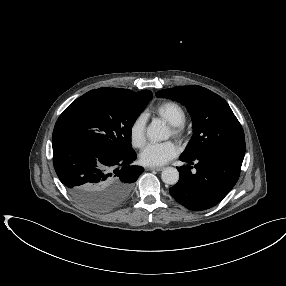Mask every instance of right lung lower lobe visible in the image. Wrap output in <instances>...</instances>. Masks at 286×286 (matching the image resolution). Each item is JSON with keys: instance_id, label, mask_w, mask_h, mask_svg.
Wrapping results in <instances>:
<instances>
[{"instance_id": "right-lung-lower-lobe-1", "label": "right lung lower lobe", "mask_w": 286, "mask_h": 286, "mask_svg": "<svg viewBox=\"0 0 286 286\" xmlns=\"http://www.w3.org/2000/svg\"><path fill=\"white\" fill-rule=\"evenodd\" d=\"M52 146L58 178L83 205L94 204L106 210L118 206L144 171L131 165L136 159L132 149L114 151L97 146L58 122Z\"/></svg>"}]
</instances>
